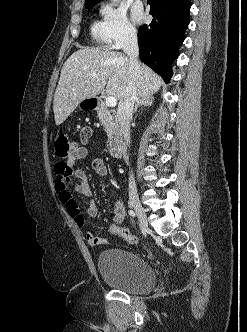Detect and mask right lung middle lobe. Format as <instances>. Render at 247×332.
<instances>
[{"instance_id":"obj_1","label":"right lung middle lobe","mask_w":247,"mask_h":332,"mask_svg":"<svg viewBox=\"0 0 247 332\" xmlns=\"http://www.w3.org/2000/svg\"><path fill=\"white\" fill-rule=\"evenodd\" d=\"M93 6H94V4H92V5H85V7L88 8V9L92 8Z\"/></svg>"}]
</instances>
